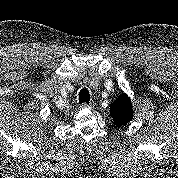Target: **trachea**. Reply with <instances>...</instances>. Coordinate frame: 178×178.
Wrapping results in <instances>:
<instances>
[{
	"instance_id": "1",
	"label": "trachea",
	"mask_w": 178,
	"mask_h": 178,
	"mask_svg": "<svg viewBox=\"0 0 178 178\" xmlns=\"http://www.w3.org/2000/svg\"><path fill=\"white\" fill-rule=\"evenodd\" d=\"M79 103H87L89 104L90 102V93L86 88H83L80 90L79 95H78Z\"/></svg>"
}]
</instances>
